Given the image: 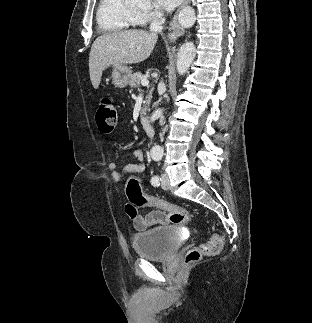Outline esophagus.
Returning <instances> with one entry per match:
<instances>
[{"label":"esophagus","instance_id":"obj_1","mask_svg":"<svg viewBox=\"0 0 312 323\" xmlns=\"http://www.w3.org/2000/svg\"><path fill=\"white\" fill-rule=\"evenodd\" d=\"M191 0H183V3L180 5L179 8H177L171 22H170V32L168 35V39L170 40V42L175 43L178 38L184 34V28L181 27L177 21L178 19V15L180 13V10L185 7V5H188V3H190Z\"/></svg>","mask_w":312,"mask_h":323}]
</instances>
